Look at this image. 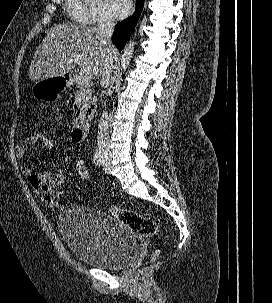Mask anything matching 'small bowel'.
I'll return each instance as SVG.
<instances>
[{
	"mask_svg": "<svg viewBox=\"0 0 272 303\" xmlns=\"http://www.w3.org/2000/svg\"><path fill=\"white\" fill-rule=\"evenodd\" d=\"M36 139V135H30L23 143L18 144L15 147V156L22 159L26 155L27 148L36 145ZM72 139L74 142H79L74 134H72ZM21 171L39 196L52 192L54 187L66 180V174L62 171L34 173L28 166H22Z\"/></svg>",
	"mask_w": 272,
	"mask_h": 303,
	"instance_id": "obj_1",
	"label": "small bowel"
}]
</instances>
